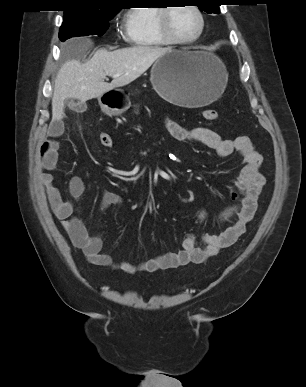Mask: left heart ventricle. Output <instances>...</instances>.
I'll list each match as a JSON object with an SVG mask.
<instances>
[{
  "instance_id": "1",
  "label": "left heart ventricle",
  "mask_w": 306,
  "mask_h": 387,
  "mask_svg": "<svg viewBox=\"0 0 306 387\" xmlns=\"http://www.w3.org/2000/svg\"><path fill=\"white\" fill-rule=\"evenodd\" d=\"M170 23L173 33L182 39L195 36L200 26L198 15L188 6L175 7L171 13Z\"/></svg>"
}]
</instances>
